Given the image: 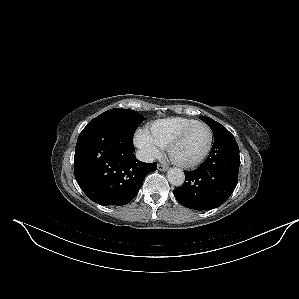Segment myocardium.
I'll return each instance as SVG.
<instances>
[{"instance_id": "myocardium-1", "label": "myocardium", "mask_w": 299, "mask_h": 299, "mask_svg": "<svg viewBox=\"0 0 299 299\" xmlns=\"http://www.w3.org/2000/svg\"><path fill=\"white\" fill-rule=\"evenodd\" d=\"M196 126H204L207 128V130L209 132V141H208L206 149L197 159H195L193 161L184 162V161H180V160L176 159L173 155L174 148L184 139V137L187 135V133L189 131H191ZM213 140H214V135H213V131H212L211 127L208 124H206L205 122L197 121V122L185 127L184 129H182L178 134H176L171 139V141L167 145V153H168V156L171 159V161L173 163H175L176 165H178L182 168H193V167L200 165L207 158V156L209 155V153L212 149Z\"/></svg>"}]
</instances>
